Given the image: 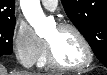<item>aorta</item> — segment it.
<instances>
[{
  "label": "aorta",
  "instance_id": "aorta-1",
  "mask_svg": "<svg viewBox=\"0 0 107 75\" xmlns=\"http://www.w3.org/2000/svg\"><path fill=\"white\" fill-rule=\"evenodd\" d=\"M20 5L26 20L34 28L36 34L40 37L45 36L49 28V23L43 13L40 1L21 0Z\"/></svg>",
  "mask_w": 107,
  "mask_h": 75
}]
</instances>
